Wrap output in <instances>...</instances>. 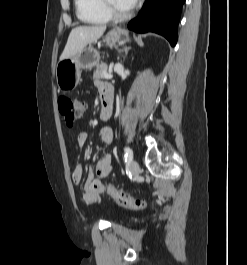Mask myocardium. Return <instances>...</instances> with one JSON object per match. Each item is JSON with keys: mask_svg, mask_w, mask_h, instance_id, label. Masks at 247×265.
<instances>
[{"mask_svg": "<svg viewBox=\"0 0 247 265\" xmlns=\"http://www.w3.org/2000/svg\"><path fill=\"white\" fill-rule=\"evenodd\" d=\"M103 2H104V8L106 12L112 19L124 20V19H127L131 15L130 10L121 12L114 5H112L109 0H103Z\"/></svg>", "mask_w": 247, "mask_h": 265, "instance_id": "myocardium-1", "label": "myocardium"}]
</instances>
